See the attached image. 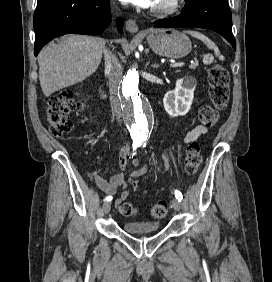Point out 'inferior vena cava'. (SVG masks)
Returning <instances> with one entry per match:
<instances>
[{
  "mask_svg": "<svg viewBox=\"0 0 272 282\" xmlns=\"http://www.w3.org/2000/svg\"><path fill=\"white\" fill-rule=\"evenodd\" d=\"M104 55L105 71L107 72L109 79L110 102L118 119V122L121 123L122 110L119 100V85L122 77V68L116 56L109 52L107 49L104 50Z\"/></svg>",
  "mask_w": 272,
  "mask_h": 282,
  "instance_id": "602c4592",
  "label": "inferior vena cava"
}]
</instances>
